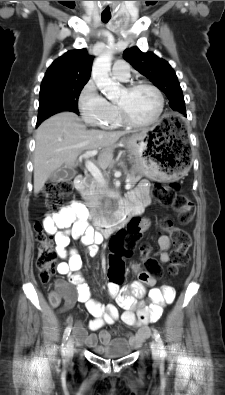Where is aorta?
Listing matches in <instances>:
<instances>
[{"mask_svg":"<svg viewBox=\"0 0 225 395\" xmlns=\"http://www.w3.org/2000/svg\"><path fill=\"white\" fill-rule=\"evenodd\" d=\"M112 58V51H107L97 57L92 66V78L109 100H116L121 94V89L119 83L113 81L109 76Z\"/></svg>","mask_w":225,"mask_h":395,"instance_id":"aorta-1","label":"aorta"}]
</instances>
